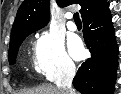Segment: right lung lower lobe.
I'll return each mask as SVG.
<instances>
[{"instance_id": "right-lung-lower-lobe-1", "label": "right lung lower lobe", "mask_w": 121, "mask_h": 94, "mask_svg": "<svg viewBox=\"0 0 121 94\" xmlns=\"http://www.w3.org/2000/svg\"><path fill=\"white\" fill-rule=\"evenodd\" d=\"M82 20L85 42L92 57L81 65L73 85L83 94H113L118 46L115 42L109 3L105 1Z\"/></svg>"}]
</instances>
